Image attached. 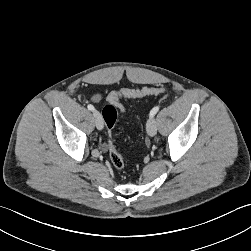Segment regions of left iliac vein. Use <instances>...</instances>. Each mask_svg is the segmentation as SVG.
Returning a JSON list of instances; mask_svg holds the SVG:
<instances>
[{
  "instance_id": "1",
  "label": "left iliac vein",
  "mask_w": 251,
  "mask_h": 251,
  "mask_svg": "<svg viewBox=\"0 0 251 251\" xmlns=\"http://www.w3.org/2000/svg\"><path fill=\"white\" fill-rule=\"evenodd\" d=\"M146 131L149 136H155L157 133V125L154 117H150L146 123Z\"/></svg>"
}]
</instances>
